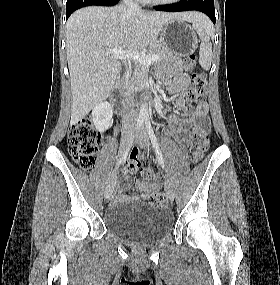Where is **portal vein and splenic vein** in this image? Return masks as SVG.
Wrapping results in <instances>:
<instances>
[{
  "instance_id": "1",
  "label": "portal vein and splenic vein",
  "mask_w": 280,
  "mask_h": 285,
  "mask_svg": "<svg viewBox=\"0 0 280 285\" xmlns=\"http://www.w3.org/2000/svg\"><path fill=\"white\" fill-rule=\"evenodd\" d=\"M111 57L119 60H135L144 65H151V63L159 60V55H148L136 51L124 50L123 47H118L112 50H107Z\"/></svg>"
}]
</instances>
